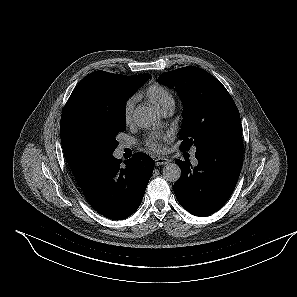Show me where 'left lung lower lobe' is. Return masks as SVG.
I'll list each match as a JSON object with an SVG mask.
<instances>
[{
    "instance_id": "left-lung-lower-lobe-1",
    "label": "left lung lower lobe",
    "mask_w": 297,
    "mask_h": 297,
    "mask_svg": "<svg viewBox=\"0 0 297 297\" xmlns=\"http://www.w3.org/2000/svg\"><path fill=\"white\" fill-rule=\"evenodd\" d=\"M198 165L176 160L181 176L174 193L181 206L196 216L218 211L231 196L238 181L242 161V135L230 137L204 150L196 151Z\"/></svg>"
}]
</instances>
